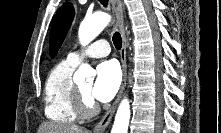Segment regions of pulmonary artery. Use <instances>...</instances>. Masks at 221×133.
<instances>
[{"instance_id": "e3ab8cb5", "label": "pulmonary artery", "mask_w": 221, "mask_h": 133, "mask_svg": "<svg viewBox=\"0 0 221 133\" xmlns=\"http://www.w3.org/2000/svg\"><path fill=\"white\" fill-rule=\"evenodd\" d=\"M109 53L110 46L108 42L101 40L95 42L84 51H76L69 53L67 56V60L77 65L81 62L82 59L86 57L100 58L107 56Z\"/></svg>"}]
</instances>
